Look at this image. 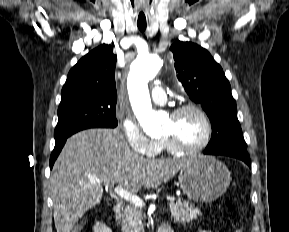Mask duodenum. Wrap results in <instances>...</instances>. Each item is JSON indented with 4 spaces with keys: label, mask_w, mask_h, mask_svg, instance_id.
<instances>
[{
    "label": "duodenum",
    "mask_w": 289,
    "mask_h": 232,
    "mask_svg": "<svg viewBox=\"0 0 289 232\" xmlns=\"http://www.w3.org/2000/svg\"><path fill=\"white\" fill-rule=\"evenodd\" d=\"M124 206L122 203H116L113 207V210L117 216L123 212ZM158 232H172V229L168 226H162L159 228Z\"/></svg>",
    "instance_id": "obj_1"
}]
</instances>
